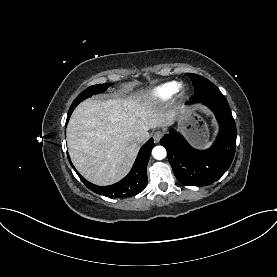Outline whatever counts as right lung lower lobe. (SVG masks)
<instances>
[{
    "label": "right lung lower lobe",
    "mask_w": 277,
    "mask_h": 277,
    "mask_svg": "<svg viewBox=\"0 0 277 277\" xmlns=\"http://www.w3.org/2000/svg\"><path fill=\"white\" fill-rule=\"evenodd\" d=\"M68 119L66 121L67 125ZM153 138H151L139 151L136 161L130 171V173L116 184L110 186H97L84 179L71 163V166L76 171L81 181L93 192L104 195L110 198H121L135 196L143 191L147 185V164L150 158L151 150L154 147Z\"/></svg>",
    "instance_id": "right-lung-lower-lobe-1"
}]
</instances>
